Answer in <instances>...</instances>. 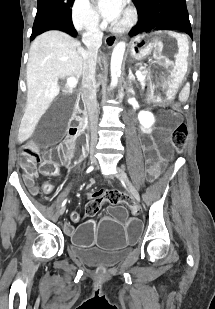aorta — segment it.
Listing matches in <instances>:
<instances>
[{"label":"aorta","instance_id":"1","mask_svg":"<svg viewBox=\"0 0 215 309\" xmlns=\"http://www.w3.org/2000/svg\"><path fill=\"white\" fill-rule=\"evenodd\" d=\"M126 48V42L124 40H121V42H117L113 48L112 56H111V82L110 86L111 88H114V86H117L118 84V76L120 74L121 70V64L124 56Z\"/></svg>","mask_w":215,"mask_h":309}]
</instances>
